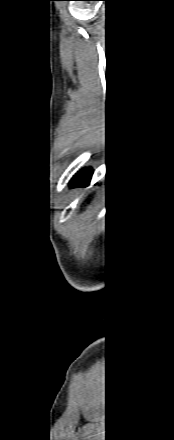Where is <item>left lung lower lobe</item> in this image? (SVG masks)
Masks as SVG:
<instances>
[{"label":"left lung lower lobe","mask_w":174,"mask_h":440,"mask_svg":"<svg viewBox=\"0 0 174 440\" xmlns=\"http://www.w3.org/2000/svg\"><path fill=\"white\" fill-rule=\"evenodd\" d=\"M92 176V171L88 169L81 170L74 178L71 180V186L87 184Z\"/></svg>","instance_id":"1"}]
</instances>
